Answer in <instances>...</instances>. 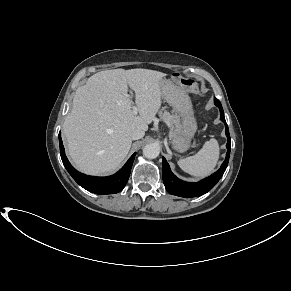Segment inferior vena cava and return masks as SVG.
I'll use <instances>...</instances> for the list:
<instances>
[{"label":"inferior vena cava","instance_id":"602c4592","mask_svg":"<svg viewBox=\"0 0 291 291\" xmlns=\"http://www.w3.org/2000/svg\"><path fill=\"white\" fill-rule=\"evenodd\" d=\"M144 131L140 130V129H136L135 131H133L132 135H131V139L132 140H138L141 139L144 136Z\"/></svg>","mask_w":291,"mask_h":291}]
</instances>
